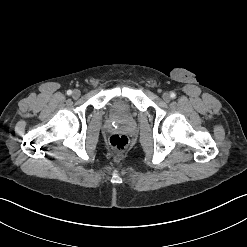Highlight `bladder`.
<instances>
[{
  "mask_svg": "<svg viewBox=\"0 0 247 247\" xmlns=\"http://www.w3.org/2000/svg\"><path fill=\"white\" fill-rule=\"evenodd\" d=\"M114 110L116 112H122L123 111V102L120 100L116 101L115 106H114Z\"/></svg>",
  "mask_w": 247,
  "mask_h": 247,
  "instance_id": "bladder-1",
  "label": "bladder"
}]
</instances>
